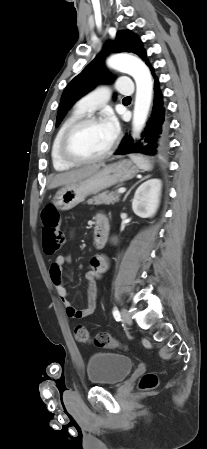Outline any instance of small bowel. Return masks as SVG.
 <instances>
[{
  "label": "small bowel",
  "instance_id": "obj_1",
  "mask_svg": "<svg viewBox=\"0 0 207 449\" xmlns=\"http://www.w3.org/2000/svg\"><path fill=\"white\" fill-rule=\"evenodd\" d=\"M102 219L107 224V230L110 229L109 218L104 214H98L97 220ZM108 236V233H107ZM107 240V239H106ZM71 262V256L69 254H59L50 266L49 273L51 280L56 288L57 294L62 301L65 311L68 317L73 319H83L94 313L97 307L98 298V286L97 280L107 268V261L102 256H96L92 258L90 263V269L86 273V280L88 283V303L86 308L78 310L76 309L68 298L67 290L63 281V266L66 263Z\"/></svg>",
  "mask_w": 207,
  "mask_h": 449
}]
</instances>
